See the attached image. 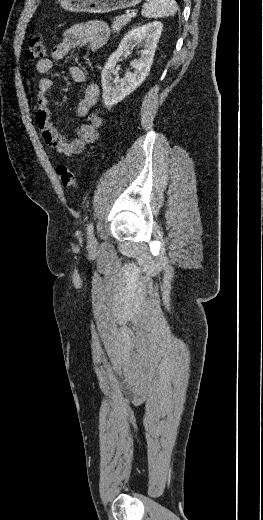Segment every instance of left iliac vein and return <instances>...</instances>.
Wrapping results in <instances>:
<instances>
[{
    "instance_id": "1",
    "label": "left iliac vein",
    "mask_w": 263,
    "mask_h": 520,
    "mask_svg": "<svg viewBox=\"0 0 263 520\" xmlns=\"http://www.w3.org/2000/svg\"><path fill=\"white\" fill-rule=\"evenodd\" d=\"M95 242H96V239H95L94 235H91V236L89 237L88 244H89L90 246H92V245L95 244Z\"/></svg>"
}]
</instances>
